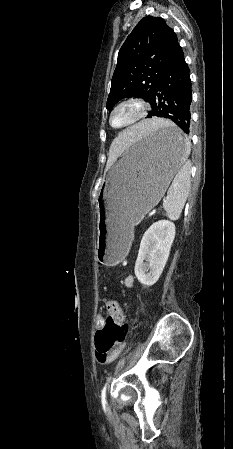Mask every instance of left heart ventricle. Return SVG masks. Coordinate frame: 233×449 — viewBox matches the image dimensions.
<instances>
[{
  "label": "left heart ventricle",
  "mask_w": 233,
  "mask_h": 449,
  "mask_svg": "<svg viewBox=\"0 0 233 449\" xmlns=\"http://www.w3.org/2000/svg\"><path fill=\"white\" fill-rule=\"evenodd\" d=\"M135 106H125L118 109L113 115V124L116 126L128 122L135 114Z\"/></svg>",
  "instance_id": "left-heart-ventricle-1"
}]
</instances>
